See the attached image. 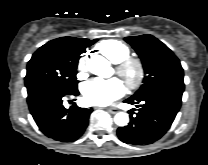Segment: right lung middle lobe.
<instances>
[{"instance_id": "dd1d6c3e", "label": "right lung middle lobe", "mask_w": 208, "mask_h": 165, "mask_svg": "<svg viewBox=\"0 0 208 165\" xmlns=\"http://www.w3.org/2000/svg\"><path fill=\"white\" fill-rule=\"evenodd\" d=\"M93 42L70 43L60 38L40 47L27 65L25 86L28 96L43 89L69 92L77 89V65L80 55Z\"/></svg>"}]
</instances>
